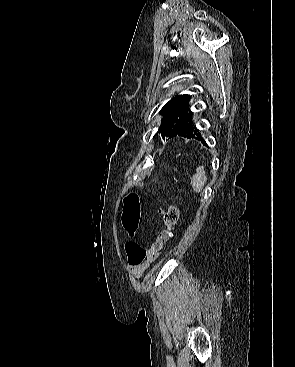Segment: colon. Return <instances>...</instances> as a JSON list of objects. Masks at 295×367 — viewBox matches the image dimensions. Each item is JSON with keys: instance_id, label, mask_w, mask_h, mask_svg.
<instances>
[{"instance_id": "1", "label": "colon", "mask_w": 295, "mask_h": 367, "mask_svg": "<svg viewBox=\"0 0 295 367\" xmlns=\"http://www.w3.org/2000/svg\"><path fill=\"white\" fill-rule=\"evenodd\" d=\"M140 212L139 197L135 193L128 194L124 198L123 203L122 225L130 236H133L138 229ZM160 213L165 227L148 249L141 247L136 242H127L126 252L130 264L153 263L158 259L164 244L170 238L171 229L179 220L180 207L178 205H170L167 209L160 211Z\"/></svg>"}]
</instances>
